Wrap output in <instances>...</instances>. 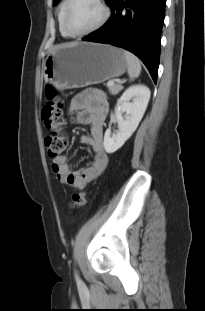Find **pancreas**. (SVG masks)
I'll list each match as a JSON object with an SVG mask.
<instances>
[{
	"instance_id": "1",
	"label": "pancreas",
	"mask_w": 205,
	"mask_h": 311,
	"mask_svg": "<svg viewBox=\"0 0 205 311\" xmlns=\"http://www.w3.org/2000/svg\"><path fill=\"white\" fill-rule=\"evenodd\" d=\"M107 87H108V89H109V92H110L112 95L118 94V93L123 89V86L120 85V84H114V85H109V84H107Z\"/></svg>"
}]
</instances>
